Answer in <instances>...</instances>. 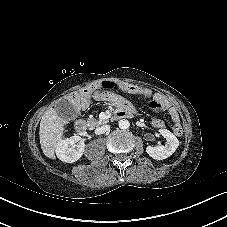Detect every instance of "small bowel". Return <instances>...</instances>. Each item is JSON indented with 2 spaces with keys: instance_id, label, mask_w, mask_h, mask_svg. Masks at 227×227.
<instances>
[{
  "instance_id": "small-bowel-1",
  "label": "small bowel",
  "mask_w": 227,
  "mask_h": 227,
  "mask_svg": "<svg viewBox=\"0 0 227 227\" xmlns=\"http://www.w3.org/2000/svg\"><path fill=\"white\" fill-rule=\"evenodd\" d=\"M96 102H113L116 104L117 110L121 111L125 114H132L134 112L133 107L128 103L127 100L120 96H113L110 93H104L102 94L98 99H96ZM89 105H84L83 108H87ZM161 110H169L172 121L175 123H178L179 116L178 112L175 108L171 107L168 103H163L162 106L159 108ZM151 125L156 129H163L165 127V122L161 118L154 117L151 119Z\"/></svg>"
}]
</instances>
